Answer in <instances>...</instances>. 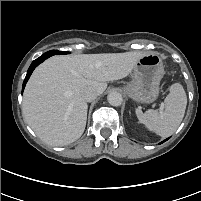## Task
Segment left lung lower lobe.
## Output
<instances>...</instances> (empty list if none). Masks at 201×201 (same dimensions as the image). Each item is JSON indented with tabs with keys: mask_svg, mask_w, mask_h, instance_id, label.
I'll return each mask as SVG.
<instances>
[{
	"mask_svg": "<svg viewBox=\"0 0 201 201\" xmlns=\"http://www.w3.org/2000/svg\"><path fill=\"white\" fill-rule=\"evenodd\" d=\"M168 139H169V138H167L166 140L162 141L161 143H163V142L167 141ZM161 143H160V144H161Z\"/></svg>",
	"mask_w": 201,
	"mask_h": 201,
	"instance_id": "obj_1",
	"label": "left lung lower lobe"
}]
</instances>
